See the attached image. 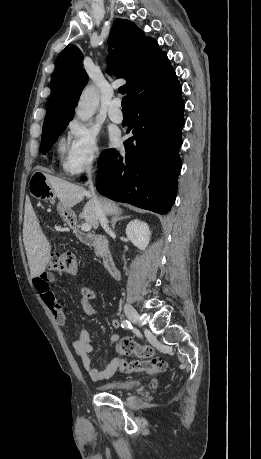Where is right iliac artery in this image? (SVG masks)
<instances>
[{
	"label": "right iliac artery",
	"mask_w": 261,
	"mask_h": 459,
	"mask_svg": "<svg viewBox=\"0 0 261 459\" xmlns=\"http://www.w3.org/2000/svg\"><path fill=\"white\" fill-rule=\"evenodd\" d=\"M121 327L125 328V329H130L132 326H131V323L128 320H123L121 322Z\"/></svg>",
	"instance_id": "obj_1"
}]
</instances>
